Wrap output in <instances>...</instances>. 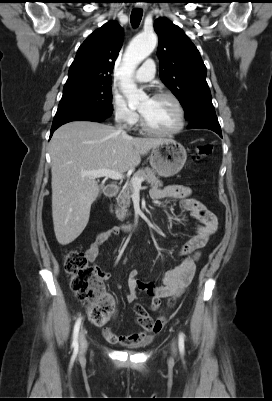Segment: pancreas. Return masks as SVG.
Masks as SVG:
<instances>
[{
    "label": "pancreas",
    "mask_w": 272,
    "mask_h": 401,
    "mask_svg": "<svg viewBox=\"0 0 272 401\" xmlns=\"http://www.w3.org/2000/svg\"><path fill=\"white\" fill-rule=\"evenodd\" d=\"M133 177L144 178V180L150 184L152 188H159L163 186L162 181L156 177L155 173L148 167L139 169ZM132 183H127L123 186L120 194L117 197L118 208H116V217L118 220L123 221L130 214L128 213V207L131 204V194L133 192Z\"/></svg>",
    "instance_id": "obj_1"
}]
</instances>
